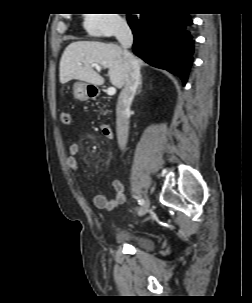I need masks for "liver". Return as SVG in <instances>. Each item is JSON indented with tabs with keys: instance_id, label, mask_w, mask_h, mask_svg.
Instances as JSON below:
<instances>
[{
	"instance_id": "1",
	"label": "liver",
	"mask_w": 252,
	"mask_h": 303,
	"mask_svg": "<svg viewBox=\"0 0 252 303\" xmlns=\"http://www.w3.org/2000/svg\"><path fill=\"white\" fill-rule=\"evenodd\" d=\"M137 61L139 66L143 65L142 60ZM93 63L109 69L112 85L117 88L124 86L126 69L123 49L112 43L97 41H77L66 47L60 60V83L76 79L96 86L102 85L104 79L94 71Z\"/></svg>"
}]
</instances>
